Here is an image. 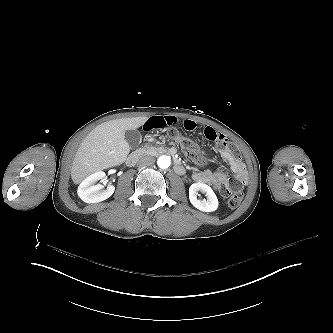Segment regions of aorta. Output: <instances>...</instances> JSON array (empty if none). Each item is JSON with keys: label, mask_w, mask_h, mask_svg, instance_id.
Returning <instances> with one entry per match:
<instances>
[{"label": "aorta", "mask_w": 333, "mask_h": 333, "mask_svg": "<svg viewBox=\"0 0 333 333\" xmlns=\"http://www.w3.org/2000/svg\"><path fill=\"white\" fill-rule=\"evenodd\" d=\"M157 164H158L159 168L167 169L171 164V160L168 156H161L158 159Z\"/></svg>", "instance_id": "obj_1"}]
</instances>
